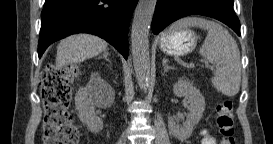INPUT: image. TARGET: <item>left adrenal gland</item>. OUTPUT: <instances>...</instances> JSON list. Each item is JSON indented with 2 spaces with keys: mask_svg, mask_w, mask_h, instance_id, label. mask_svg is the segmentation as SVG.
<instances>
[{
  "mask_svg": "<svg viewBox=\"0 0 273 144\" xmlns=\"http://www.w3.org/2000/svg\"><path fill=\"white\" fill-rule=\"evenodd\" d=\"M163 66H164V72H167L170 69H172V67L167 64L165 59L163 60Z\"/></svg>",
  "mask_w": 273,
  "mask_h": 144,
  "instance_id": "a2214340",
  "label": "left adrenal gland"
}]
</instances>
